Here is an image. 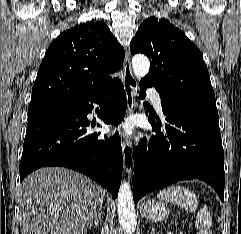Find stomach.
<instances>
[{
    "label": "stomach",
    "instance_id": "1",
    "mask_svg": "<svg viewBox=\"0 0 241 234\" xmlns=\"http://www.w3.org/2000/svg\"><path fill=\"white\" fill-rule=\"evenodd\" d=\"M140 211L143 217L155 222L162 221L169 215V210L164 203L153 200L142 203Z\"/></svg>",
    "mask_w": 241,
    "mask_h": 234
}]
</instances>
